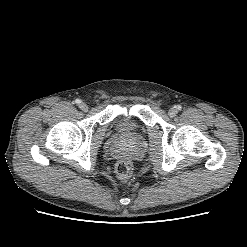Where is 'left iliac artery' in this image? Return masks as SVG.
Here are the masks:
<instances>
[{
	"mask_svg": "<svg viewBox=\"0 0 247 247\" xmlns=\"http://www.w3.org/2000/svg\"><path fill=\"white\" fill-rule=\"evenodd\" d=\"M177 109H178V110H181V109H182V107H181L180 105H178V106H177Z\"/></svg>",
	"mask_w": 247,
	"mask_h": 247,
	"instance_id": "obj_1",
	"label": "left iliac artery"
}]
</instances>
